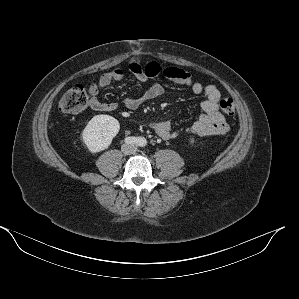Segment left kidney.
Returning <instances> with one entry per match:
<instances>
[{"mask_svg":"<svg viewBox=\"0 0 299 299\" xmlns=\"http://www.w3.org/2000/svg\"><path fill=\"white\" fill-rule=\"evenodd\" d=\"M194 141H195L194 138H190L191 143H194Z\"/></svg>","mask_w":299,"mask_h":299,"instance_id":"5707ae66","label":"left kidney"}]
</instances>
